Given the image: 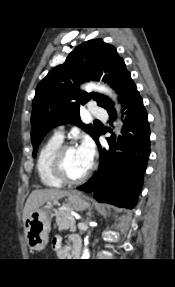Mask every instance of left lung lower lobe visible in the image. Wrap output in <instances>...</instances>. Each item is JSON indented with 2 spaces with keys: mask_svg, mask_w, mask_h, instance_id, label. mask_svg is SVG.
Instances as JSON below:
<instances>
[{
  "mask_svg": "<svg viewBox=\"0 0 175 287\" xmlns=\"http://www.w3.org/2000/svg\"><path fill=\"white\" fill-rule=\"evenodd\" d=\"M125 110L122 136L107 139L109 150L102 148L98 137L95 142L100 151L97 173L80 190L92 192L99 202L132 209L142 188L143 176L150 155V128L143 100L133 84L122 102ZM111 121L115 111L108 112Z\"/></svg>",
  "mask_w": 175,
  "mask_h": 287,
  "instance_id": "left-lung-lower-lobe-1",
  "label": "left lung lower lobe"
}]
</instances>
